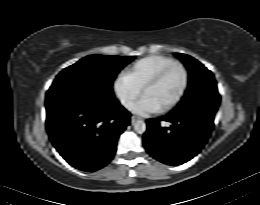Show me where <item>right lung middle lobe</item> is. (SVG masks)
Here are the masks:
<instances>
[{"mask_svg":"<svg viewBox=\"0 0 260 205\" xmlns=\"http://www.w3.org/2000/svg\"><path fill=\"white\" fill-rule=\"evenodd\" d=\"M134 57L90 55L62 70L51 87L60 85L88 90L105 99H115L112 82Z\"/></svg>","mask_w":260,"mask_h":205,"instance_id":"obj_1","label":"right lung middle lobe"}]
</instances>
